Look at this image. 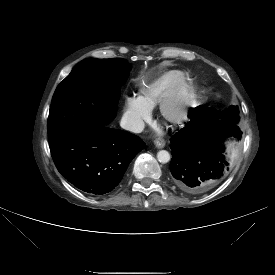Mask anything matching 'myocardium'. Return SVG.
Masks as SVG:
<instances>
[{
	"label": "myocardium",
	"mask_w": 275,
	"mask_h": 275,
	"mask_svg": "<svg viewBox=\"0 0 275 275\" xmlns=\"http://www.w3.org/2000/svg\"><path fill=\"white\" fill-rule=\"evenodd\" d=\"M190 96L188 76L177 71L173 82L157 103L160 118L173 125L183 123L188 116Z\"/></svg>",
	"instance_id": "obj_1"
}]
</instances>
